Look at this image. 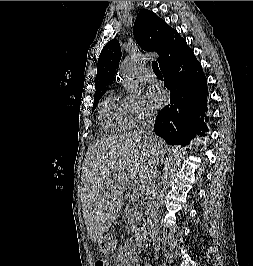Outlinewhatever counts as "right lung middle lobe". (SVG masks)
<instances>
[{
  "mask_svg": "<svg viewBox=\"0 0 253 266\" xmlns=\"http://www.w3.org/2000/svg\"><path fill=\"white\" fill-rule=\"evenodd\" d=\"M101 97H102V95L94 98V103H93L92 112L94 111V109H95V107H96V104H97V102L99 101V99H100Z\"/></svg>",
  "mask_w": 253,
  "mask_h": 266,
  "instance_id": "dd1d6c3e",
  "label": "right lung middle lobe"
}]
</instances>
